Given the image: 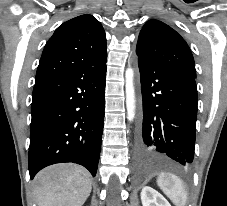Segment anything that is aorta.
Instances as JSON below:
<instances>
[{"label": "aorta", "mask_w": 227, "mask_h": 206, "mask_svg": "<svg viewBox=\"0 0 227 206\" xmlns=\"http://www.w3.org/2000/svg\"><path fill=\"white\" fill-rule=\"evenodd\" d=\"M134 71L132 68H127L125 72V91H126V108L127 118L131 122L135 117V90H134Z\"/></svg>", "instance_id": "aorta-1"}]
</instances>
